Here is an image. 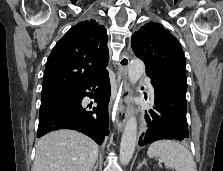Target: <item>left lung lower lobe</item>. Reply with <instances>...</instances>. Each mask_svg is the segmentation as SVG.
<instances>
[{"mask_svg": "<svg viewBox=\"0 0 223 171\" xmlns=\"http://www.w3.org/2000/svg\"><path fill=\"white\" fill-rule=\"evenodd\" d=\"M151 83L155 106L146 111L147 130L140 136L139 145L162 139H188L186 93L163 80L151 78Z\"/></svg>", "mask_w": 223, "mask_h": 171, "instance_id": "obj_1", "label": "left lung lower lobe"}]
</instances>
